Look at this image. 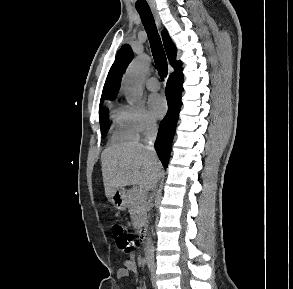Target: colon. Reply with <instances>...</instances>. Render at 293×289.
Segmentation results:
<instances>
[{"label": "colon", "instance_id": "5ec220e1", "mask_svg": "<svg viewBox=\"0 0 293 289\" xmlns=\"http://www.w3.org/2000/svg\"><path fill=\"white\" fill-rule=\"evenodd\" d=\"M111 233L118 248L125 253H132L134 241L132 235L120 224L114 223L111 226Z\"/></svg>", "mask_w": 293, "mask_h": 289}]
</instances>
